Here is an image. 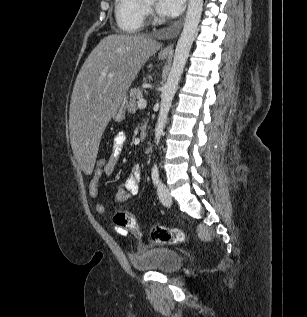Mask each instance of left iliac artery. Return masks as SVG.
I'll return each instance as SVG.
<instances>
[{"label": "left iliac artery", "mask_w": 307, "mask_h": 317, "mask_svg": "<svg viewBox=\"0 0 307 317\" xmlns=\"http://www.w3.org/2000/svg\"><path fill=\"white\" fill-rule=\"evenodd\" d=\"M152 180H153V183L154 185H158L159 183V168L157 166H154L152 168Z\"/></svg>", "instance_id": "44dca946"}]
</instances>
